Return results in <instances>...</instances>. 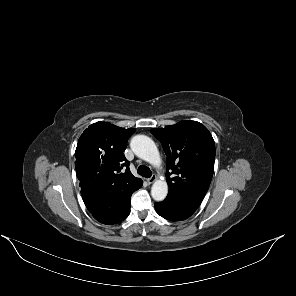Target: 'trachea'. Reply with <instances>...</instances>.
<instances>
[{"label": "trachea", "instance_id": "trachea-1", "mask_svg": "<svg viewBox=\"0 0 296 296\" xmlns=\"http://www.w3.org/2000/svg\"><path fill=\"white\" fill-rule=\"evenodd\" d=\"M138 174L145 177V178H150L152 175L151 170L149 169V167L145 166V165H140L138 167L137 170Z\"/></svg>", "mask_w": 296, "mask_h": 296}]
</instances>
